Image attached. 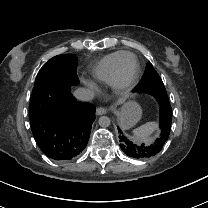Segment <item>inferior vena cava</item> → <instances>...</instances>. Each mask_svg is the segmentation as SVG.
<instances>
[{"instance_id": "inferior-vena-cava-1", "label": "inferior vena cava", "mask_w": 208, "mask_h": 208, "mask_svg": "<svg viewBox=\"0 0 208 208\" xmlns=\"http://www.w3.org/2000/svg\"><path fill=\"white\" fill-rule=\"evenodd\" d=\"M74 96L80 101H89L93 98L94 93L90 89L78 88L74 92Z\"/></svg>"}]
</instances>
